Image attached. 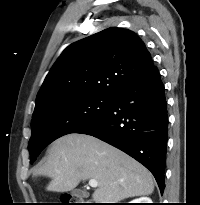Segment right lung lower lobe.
<instances>
[{"label": "right lung lower lobe", "mask_w": 200, "mask_h": 205, "mask_svg": "<svg viewBox=\"0 0 200 205\" xmlns=\"http://www.w3.org/2000/svg\"><path fill=\"white\" fill-rule=\"evenodd\" d=\"M156 66L113 96L108 112L76 133L94 136L142 163L161 193L167 147V105Z\"/></svg>", "instance_id": "right-lung-lower-lobe-1"}]
</instances>
